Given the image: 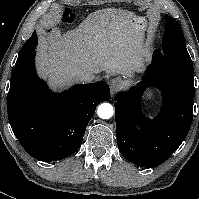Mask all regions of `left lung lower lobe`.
I'll use <instances>...</instances> for the list:
<instances>
[{
    "label": "left lung lower lobe",
    "instance_id": "0a47b994",
    "mask_svg": "<svg viewBox=\"0 0 199 199\" xmlns=\"http://www.w3.org/2000/svg\"><path fill=\"white\" fill-rule=\"evenodd\" d=\"M156 51L140 84L114 98L119 151L126 160L147 168L171 157L186 138L193 120V69L157 61ZM146 86H157L163 94L161 111L153 120L147 119L141 110Z\"/></svg>",
    "mask_w": 199,
    "mask_h": 199
}]
</instances>
